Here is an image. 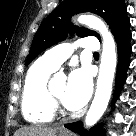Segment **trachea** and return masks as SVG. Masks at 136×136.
<instances>
[{
  "label": "trachea",
  "instance_id": "trachea-1",
  "mask_svg": "<svg viewBox=\"0 0 136 136\" xmlns=\"http://www.w3.org/2000/svg\"><path fill=\"white\" fill-rule=\"evenodd\" d=\"M94 56H99V53H98V52H95V53H94Z\"/></svg>",
  "mask_w": 136,
  "mask_h": 136
}]
</instances>
